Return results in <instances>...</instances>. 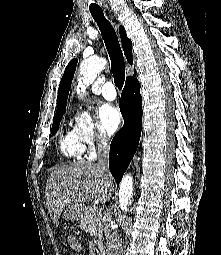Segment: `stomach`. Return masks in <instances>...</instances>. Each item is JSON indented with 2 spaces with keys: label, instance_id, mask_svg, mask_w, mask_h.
Masks as SVG:
<instances>
[{
  "label": "stomach",
  "instance_id": "0dacf381",
  "mask_svg": "<svg viewBox=\"0 0 221 255\" xmlns=\"http://www.w3.org/2000/svg\"><path fill=\"white\" fill-rule=\"evenodd\" d=\"M84 206L81 204L72 203L66 207L62 212V218L69 221H75L80 219L84 213Z\"/></svg>",
  "mask_w": 221,
  "mask_h": 255
}]
</instances>
